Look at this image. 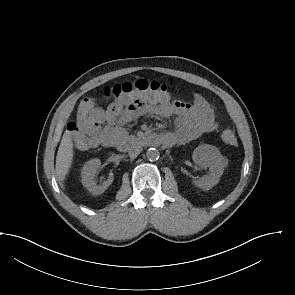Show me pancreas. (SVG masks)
I'll return each mask as SVG.
<instances>
[{
	"instance_id": "pancreas-1",
	"label": "pancreas",
	"mask_w": 295,
	"mask_h": 295,
	"mask_svg": "<svg viewBox=\"0 0 295 295\" xmlns=\"http://www.w3.org/2000/svg\"><path fill=\"white\" fill-rule=\"evenodd\" d=\"M130 140L135 141V140H137V138L134 137V136H132V137L130 138Z\"/></svg>"
}]
</instances>
